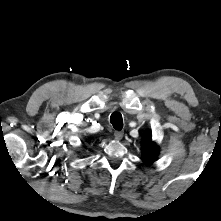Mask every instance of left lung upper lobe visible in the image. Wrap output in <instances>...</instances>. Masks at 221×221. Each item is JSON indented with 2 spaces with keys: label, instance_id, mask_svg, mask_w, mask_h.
<instances>
[{
  "label": "left lung upper lobe",
  "instance_id": "5c2ea615",
  "mask_svg": "<svg viewBox=\"0 0 221 221\" xmlns=\"http://www.w3.org/2000/svg\"><path fill=\"white\" fill-rule=\"evenodd\" d=\"M142 153H143V161L147 164L152 163L158 156L159 148L152 141V135L150 132L145 133L143 136Z\"/></svg>",
  "mask_w": 221,
  "mask_h": 221
}]
</instances>
